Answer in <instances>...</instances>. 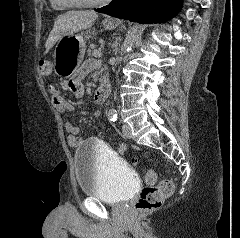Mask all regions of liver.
I'll list each match as a JSON object with an SVG mask.
<instances>
[{
    "mask_svg": "<svg viewBox=\"0 0 240 238\" xmlns=\"http://www.w3.org/2000/svg\"><path fill=\"white\" fill-rule=\"evenodd\" d=\"M97 17L98 15L92 11H68L59 15L46 41L45 53H47L62 36L72 35L80 30L91 27Z\"/></svg>",
    "mask_w": 240,
    "mask_h": 238,
    "instance_id": "obj_1",
    "label": "liver"
}]
</instances>
